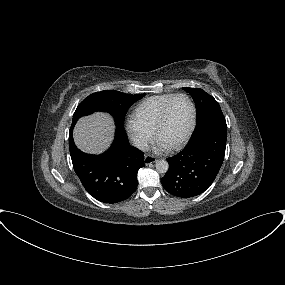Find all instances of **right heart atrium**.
<instances>
[{
    "label": "right heart atrium",
    "instance_id": "right-heart-atrium-1",
    "mask_svg": "<svg viewBox=\"0 0 285 285\" xmlns=\"http://www.w3.org/2000/svg\"><path fill=\"white\" fill-rule=\"evenodd\" d=\"M125 126L134 145L141 150L145 149L152 139L153 130L142 125L133 117L127 119Z\"/></svg>",
    "mask_w": 285,
    "mask_h": 285
}]
</instances>
